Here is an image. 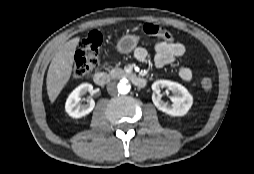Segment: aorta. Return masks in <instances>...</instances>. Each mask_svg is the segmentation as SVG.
Instances as JSON below:
<instances>
[{
  "mask_svg": "<svg viewBox=\"0 0 254 174\" xmlns=\"http://www.w3.org/2000/svg\"><path fill=\"white\" fill-rule=\"evenodd\" d=\"M117 88L120 94H127L129 93L131 86L127 79H121L120 82L118 83Z\"/></svg>",
  "mask_w": 254,
  "mask_h": 174,
  "instance_id": "aorta-1",
  "label": "aorta"
}]
</instances>
